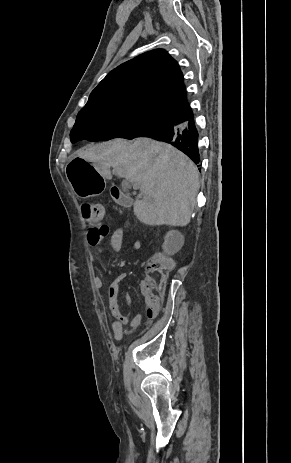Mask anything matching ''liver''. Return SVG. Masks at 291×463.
Listing matches in <instances>:
<instances>
[{
	"instance_id": "liver-1",
	"label": "liver",
	"mask_w": 291,
	"mask_h": 463,
	"mask_svg": "<svg viewBox=\"0 0 291 463\" xmlns=\"http://www.w3.org/2000/svg\"><path fill=\"white\" fill-rule=\"evenodd\" d=\"M78 158L92 162L104 179L137 183L142 196L134 203L137 219L150 226H186L196 204L199 175L194 163L175 147L152 140L114 139L80 149Z\"/></svg>"
}]
</instances>
